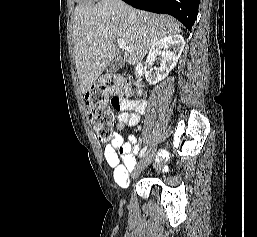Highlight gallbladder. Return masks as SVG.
I'll return each instance as SVG.
<instances>
[{
    "instance_id": "bac80fb5",
    "label": "gallbladder",
    "mask_w": 257,
    "mask_h": 237,
    "mask_svg": "<svg viewBox=\"0 0 257 237\" xmlns=\"http://www.w3.org/2000/svg\"><path fill=\"white\" fill-rule=\"evenodd\" d=\"M123 60L120 57H117L114 61H112L108 67L107 72L113 73L116 72L120 67H122Z\"/></svg>"
}]
</instances>
